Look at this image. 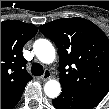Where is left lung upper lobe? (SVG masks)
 Listing matches in <instances>:
<instances>
[{
    "mask_svg": "<svg viewBox=\"0 0 109 109\" xmlns=\"http://www.w3.org/2000/svg\"><path fill=\"white\" fill-rule=\"evenodd\" d=\"M58 47L60 83L103 99L109 91V39L84 18L58 19L39 27Z\"/></svg>",
    "mask_w": 109,
    "mask_h": 109,
    "instance_id": "5c2ea615",
    "label": "left lung upper lobe"
}]
</instances>
